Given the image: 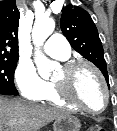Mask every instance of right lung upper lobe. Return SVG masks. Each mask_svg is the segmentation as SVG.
Instances as JSON below:
<instances>
[{"label": "right lung upper lobe", "mask_w": 117, "mask_h": 131, "mask_svg": "<svg viewBox=\"0 0 117 131\" xmlns=\"http://www.w3.org/2000/svg\"><path fill=\"white\" fill-rule=\"evenodd\" d=\"M20 12L15 0L0 2V56H18V25Z\"/></svg>", "instance_id": "1"}]
</instances>
